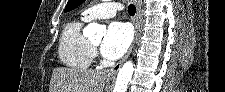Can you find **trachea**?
<instances>
[{
	"mask_svg": "<svg viewBox=\"0 0 225 92\" xmlns=\"http://www.w3.org/2000/svg\"><path fill=\"white\" fill-rule=\"evenodd\" d=\"M136 12V7L133 4H129L128 13L130 16H134Z\"/></svg>",
	"mask_w": 225,
	"mask_h": 92,
	"instance_id": "trachea-1",
	"label": "trachea"
}]
</instances>
